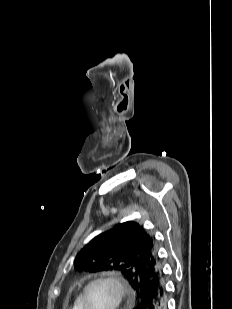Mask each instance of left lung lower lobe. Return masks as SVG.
Returning <instances> with one entry per match:
<instances>
[{"label": "left lung lower lobe", "instance_id": "1", "mask_svg": "<svg viewBox=\"0 0 232 309\" xmlns=\"http://www.w3.org/2000/svg\"><path fill=\"white\" fill-rule=\"evenodd\" d=\"M167 303L164 275L159 269L151 276L135 309H167Z\"/></svg>", "mask_w": 232, "mask_h": 309}]
</instances>
